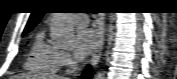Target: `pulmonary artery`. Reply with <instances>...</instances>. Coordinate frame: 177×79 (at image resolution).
<instances>
[{"label":"pulmonary artery","instance_id":"e3ab8cb5","mask_svg":"<svg viewBox=\"0 0 177 79\" xmlns=\"http://www.w3.org/2000/svg\"><path fill=\"white\" fill-rule=\"evenodd\" d=\"M88 16L86 14L72 15L71 22L75 25L86 26L88 24Z\"/></svg>","mask_w":177,"mask_h":79}]
</instances>
